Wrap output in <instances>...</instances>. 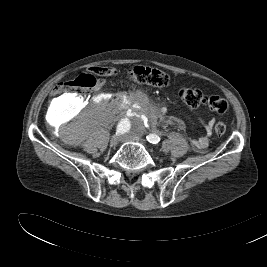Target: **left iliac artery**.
Wrapping results in <instances>:
<instances>
[{
  "mask_svg": "<svg viewBox=\"0 0 267 267\" xmlns=\"http://www.w3.org/2000/svg\"><path fill=\"white\" fill-rule=\"evenodd\" d=\"M146 139L152 144H158L160 142V137L156 134H149L146 136Z\"/></svg>",
  "mask_w": 267,
  "mask_h": 267,
  "instance_id": "1",
  "label": "left iliac artery"
}]
</instances>
